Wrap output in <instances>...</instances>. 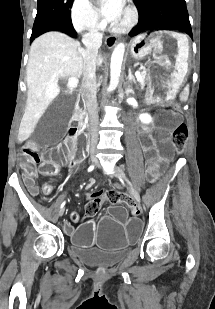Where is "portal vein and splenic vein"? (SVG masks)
Here are the masks:
<instances>
[{"mask_svg": "<svg viewBox=\"0 0 215 309\" xmlns=\"http://www.w3.org/2000/svg\"><path fill=\"white\" fill-rule=\"evenodd\" d=\"M135 76L137 80H141L142 76L140 74V70H136ZM77 84H78V78H73V76H70V78H68V86H77Z\"/></svg>", "mask_w": 215, "mask_h": 309, "instance_id": "18ae733b", "label": "portal vein and splenic vein"}]
</instances>
